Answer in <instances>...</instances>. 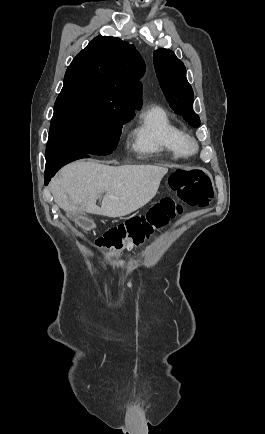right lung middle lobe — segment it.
I'll return each mask as SVG.
<instances>
[{"instance_id": "obj_1", "label": "right lung middle lobe", "mask_w": 265, "mask_h": 434, "mask_svg": "<svg viewBox=\"0 0 265 434\" xmlns=\"http://www.w3.org/2000/svg\"><path fill=\"white\" fill-rule=\"evenodd\" d=\"M139 108L140 104L117 98L98 87L63 86L54 105L46 161L111 153L123 124Z\"/></svg>"}]
</instances>
